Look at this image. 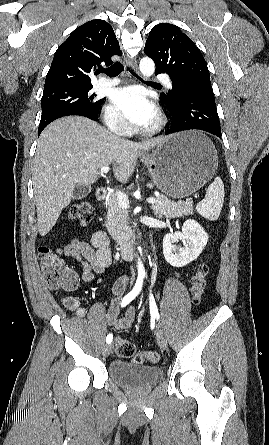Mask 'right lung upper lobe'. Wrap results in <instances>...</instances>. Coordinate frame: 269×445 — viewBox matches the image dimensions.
I'll return each mask as SVG.
<instances>
[{
    "label": "right lung upper lobe",
    "instance_id": "right-lung-upper-lobe-1",
    "mask_svg": "<svg viewBox=\"0 0 269 445\" xmlns=\"http://www.w3.org/2000/svg\"><path fill=\"white\" fill-rule=\"evenodd\" d=\"M113 55H122L112 27L95 19L75 29L55 52L45 79L44 90L92 85L90 73L101 63H113Z\"/></svg>",
    "mask_w": 269,
    "mask_h": 445
}]
</instances>
